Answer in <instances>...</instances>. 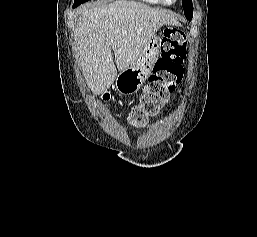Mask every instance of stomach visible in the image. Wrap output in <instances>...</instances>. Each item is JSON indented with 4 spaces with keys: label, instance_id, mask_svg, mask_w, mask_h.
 <instances>
[{
    "label": "stomach",
    "instance_id": "stomach-1",
    "mask_svg": "<svg viewBox=\"0 0 257 237\" xmlns=\"http://www.w3.org/2000/svg\"><path fill=\"white\" fill-rule=\"evenodd\" d=\"M160 37L154 35L146 43L134 65L124 69L116 79V88L123 95L136 93L150 75L160 53Z\"/></svg>",
    "mask_w": 257,
    "mask_h": 237
}]
</instances>
